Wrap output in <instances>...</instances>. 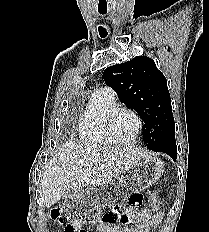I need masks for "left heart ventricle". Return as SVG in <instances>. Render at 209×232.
<instances>
[{
    "instance_id": "left-heart-ventricle-1",
    "label": "left heart ventricle",
    "mask_w": 209,
    "mask_h": 232,
    "mask_svg": "<svg viewBox=\"0 0 209 232\" xmlns=\"http://www.w3.org/2000/svg\"><path fill=\"white\" fill-rule=\"evenodd\" d=\"M137 123L134 117L127 112L119 114L112 125L114 136L119 140L130 138L136 130Z\"/></svg>"
}]
</instances>
